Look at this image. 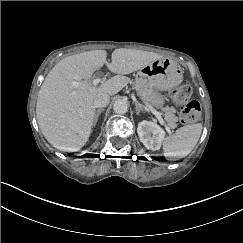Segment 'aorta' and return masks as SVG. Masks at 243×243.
Returning <instances> with one entry per match:
<instances>
[{
    "mask_svg": "<svg viewBox=\"0 0 243 243\" xmlns=\"http://www.w3.org/2000/svg\"><path fill=\"white\" fill-rule=\"evenodd\" d=\"M113 110L117 114H125L128 111V104L125 100H117L114 102Z\"/></svg>",
    "mask_w": 243,
    "mask_h": 243,
    "instance_id": "aorta-1",
    "label": "aorta"
}]
</instances>
